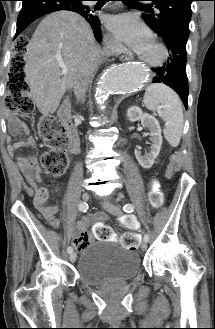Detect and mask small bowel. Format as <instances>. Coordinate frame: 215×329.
Listing matches in <instances>:
<instances>
[{"instance_id":"obj_1","label":"small bowel","mask_w":215,"mask_h":329,"mask_svg":"<svg viewBox=\"0 0 215 329\" xmlns=\"http://www.w3.org/2000/svg\"><path fill=\"white\" fill-rule=\"evenodd\" d=\"M11 132L13 134L24 133L25 137L18 141H8V149L11 153L22 147H35V140L29 135L27 126L16 117L10 119ZM18 165L28 181L32 191L34 207L44 216V218L54 227L59 225V220L55 218L58 207L55 204H48V191L40 187L42 169L38 158L35 155L18 157ZM104 213H97L94 216L85 217L79 220L76 227V234L73 235V245L77 250H83L93 238L87 233V227L90 225V231L94 236V242H114L115 234L113 225H104L107 220ZM133 224H139L134 221Z\"/></svg>"}]
</instances>
